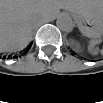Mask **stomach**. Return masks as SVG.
Wrapping results in <instances>:
<instances>
[{
	"label": "stomach",
	"instance_id": "stomach-1",
	"mask_svg": "<svg viewBox=\"0 0 103 103\" xmlns=\"http://www.w3.org/2000/svg\"><path fill=\"white\" fill-rule=\"evenodd\" d=\"M71 14L83 35L90 38H96L102 34V1L80 0L79 2L72 4Z\"/></svg>",
	"mask_w": 103,
	"mask_h": 103
}]
</instances>
